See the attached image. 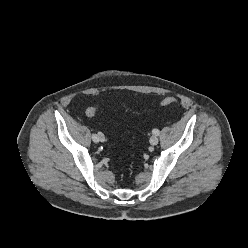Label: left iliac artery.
<instances>
[{
  "instance_id": "obj_1",
  "label": "left iliac artery",
  "mask_w": 248,
  "mask_h": 248,
  "mask_svg": "<svg viewBox=\"0 0 248 248\" xmlns=\"http://www.w3.org/2000/svg\"><path fill=\"white\" fill-rule=\"evenodd\" d=\"M152 132H153V134L156 135V136H158V135L160 134V132H159L158 129H153Z\"/></svg>"
}]
</instances>
